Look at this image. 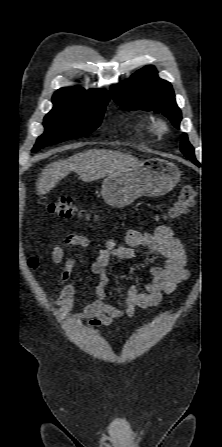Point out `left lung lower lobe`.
<instances>
[{
    "label": "left lung lower lobe",
    "mask_w": 222,
    "mask_h": 447,
    "mask_svg": "<svg viewBox=\"0 0 222 447\" xmlns=\"http://www.w3.org/2000/svg\"><path fill=\"white\" fill-rule=\"evenodd\" d=\"M192 162H193L194 164H196L197 166H200V163H199L197 160H192Z\"/></svg>",
    "instance_id": "1"
}]
</instances>
